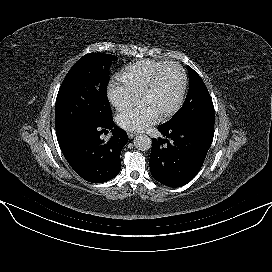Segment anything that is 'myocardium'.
<instances>
[{"instance_id": "f54148a6", "label": "myocardium", "mask_w": 272, "mask_h": 272, "mask_svg": "<svg viewBox=\"0 0 272 272\" xmlns=\"http://www.w3.org/2000/svg\"><path fill=\"white\" fill-rule=\"evenodd\" d=\"M169 67H176L182 75V86H181V90H180V94L178 97L177 102L174 104V106L172 108H170L168 111L164 112L163 114H161L159 116L160 120H166L169 119L170 117H172L175 113H177L179 111V109L182 107L184 99H185V95H186V90H187V74L185 72V70L183 69V67L181 65H179L178 63L175 62H169L166 65H164L163 67H161L154 75L153 77L150 79V81L145 85V87L141 90L139 97L140 100H142L151 90L154 89V87L157 85L161 75L165 72V70H167Z\"/></svg>"}]
</instances>
